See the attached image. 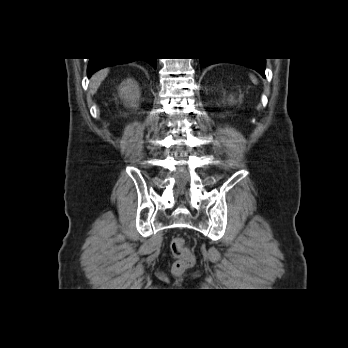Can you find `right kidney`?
Returning <instances> with one entry per match:
<instances>
[{"instance_id":"1","label":"right kidney","mask_w":348,"mask_h":348,"mask_svg":"<svg viewBox=\"0 0 348 348\" xmlns=\"http://www.w3.org/2000/svg\"><path fill=\"white\" fill-rule=\"evenodd\" d=\"M118 94L126 106L132 108L139 106L141 93L140 88L134 79L128 78L122 81L118 87Z\"/></svg>"}]
</instances>
